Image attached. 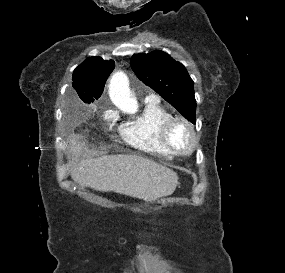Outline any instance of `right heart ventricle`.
I'll list each match as a JSON object with an SVG mask.
<instances>
[{
    "mask_svg": "<svg viewBox=\"0 0 285 273\" xmlns=\"http://www.w3.org/2000/svg\"><path fill=\"white\" fill-rule=\"evenodd\" d=\"M172 114L157 100L146 101L141 114L119 128L122 140L132 148L164 157L175 155L163 142L162 127Z\"/></svg>",
    "mask_w": 285,
    "mask_h": 273,
    "instance_id": "right-heart-ventricle-1",
    "label": "right heart ventricle"
}]
</instances>
